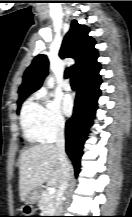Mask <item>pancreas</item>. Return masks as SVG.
Instances as JSON below:
<instances>
[{
  "instance_id": "pancreas-1",
  "label": "pancreas",
  "mask_w": 132,
  "mask_h": 217,
  "mask_svg": "<svg viewBox=\"0 0 132 217\" xmlns=\"http://www.w3.org/2000/svg\"><path fill=\"white\" fill-rule=\"evenodd\" d=\"M39 208L43 216L53 215L56 209V195L50 194L48 190L42 191L39 200Z\"/></svg>"
}]
</instances>
